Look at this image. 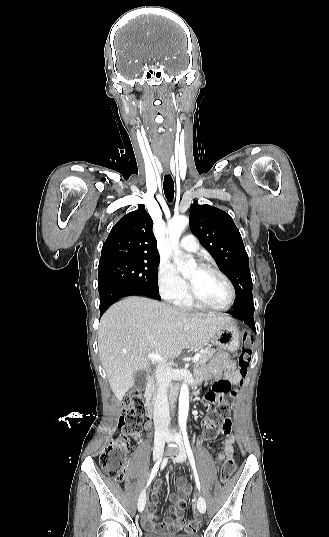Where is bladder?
Instances as JSON below:
<instances>
[{
    "label": "bladder",
    "mask_w": 329,
    "mask_h": 537,
    "mask_svg": "<svg viewBox=\"0 0 329 537\" xmlns=\"http://www.w3.org/2000/svg\"><path fill=\"white\" fill-rule=\"evenodd\" d=\"M143 537H199V535L196 532L195 533L173 535V534L156 533V532H152V531H146V532H144Z\"/></svg>",
    "instance_id": "bladder-1"
}]
</instances>
